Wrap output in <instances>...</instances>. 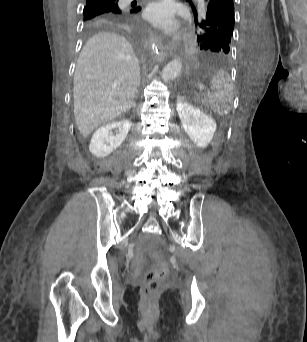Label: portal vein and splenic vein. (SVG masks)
I'll use <instances>...</instances> for the list:
<instances>
[{"mask_svg": "<svg viewBox=\"0 0 307 342\" xmlns=\"http://www.w3.org/2000/svg\"><path fill=\"white\" fill-rule=\"evenodd\" d=\"M201 91L204 93L206 90L203 88Z\"/></svg>", "mask_w": 307, "mask_h": 342, "instance_id": "1", "label": "portal vein and splenic vein"}]
</instances>
